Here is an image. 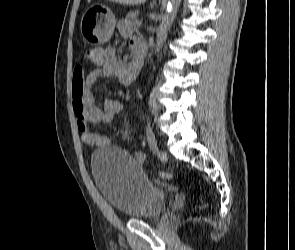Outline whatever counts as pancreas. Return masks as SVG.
I'll list each match as a JSON object with an SVG mask.
<instances>
[{
    "label": "pancreas",
    "mask_w": 295,
    "mask_h": 250,
    "mask_svg": "<svg viewBox=\"0 0 295 250\" xmlns=\"http://www.w3.org/2000/svg\"><path fill=\"white\" fill-rule=\"evenodd\" d=\"M139 12L138 11H131L130 13H128L127 18L131 19L133 21V25L136 22V18L138 17Z\"/></svg>",
    "instance_id": "obj_1"
}]
</instances>
